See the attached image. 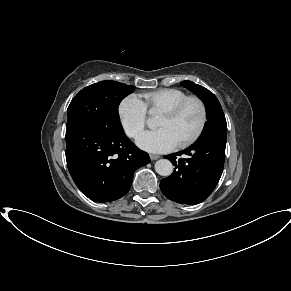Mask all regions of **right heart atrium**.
<instances>
[{"mask_svg": "<svg viewBox=\"0 0 291 291\" xmlns=\"http://www.w3.org/2000/svg\"><path fill=\"white\" fill-rule=\"evenodd\" d=\"M118 117L124 132L130 138H137L146 126L147 109L141 99L130 94L118 106Z\"/></svg>", "mask_w": 291, "mask_h": 291, "instance_id": "1", "label": "right heart atrium"}]
</instances>
